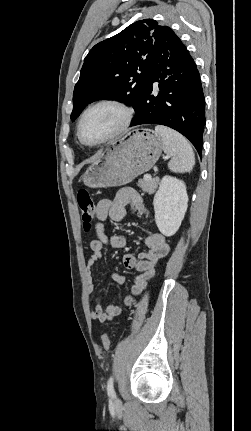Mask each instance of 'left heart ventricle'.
Instances as JSON below:
<instances>
[{
	"label": "left heart ventricle",
	"instance_id": "left-heart-ventricle-1",
	"mask_svg": "<svg viewBox=\"0 0 251 431\" xmlns=\"http://www.w3.org/2000/svg\"><path fill=\"white\" fill-rule=\"evenodd\" d=\"M122 112L112 106H101L90 111L82 123V136L96 143L111 134L121 123Z\"/></svg>",
	"mask_w": 251,
	"mask_h": 431
}]
</instances>
